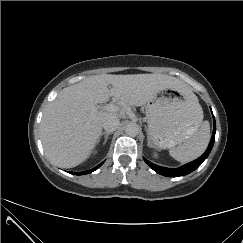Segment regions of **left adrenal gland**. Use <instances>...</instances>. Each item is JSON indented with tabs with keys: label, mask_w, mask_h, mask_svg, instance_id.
Instances as JSON below:
<instances>
[{
	"label": "left adrenal gland",
	"mask_w": 243,
	"mask_h": 243,
	"mask_svg": "<svg viewBox=\"0 0 243 243\" xmlns=\"http://www.w3.org/2000/svg\"><path fill=\"white\" fill-rule=\"evenodd\" d=\"M147 141H148V145L151 146V145H150V138H149V135H147Z\"/></svg>",
	"instance_id": "1"
}]
</instances>
